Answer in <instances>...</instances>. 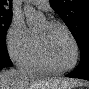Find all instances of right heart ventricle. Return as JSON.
<instances>
[{"label":"right heart ventricle","instance_id":"right-heart-ventricle-1","mask_svg":"<svg viewBox=\"0 0 89 89\" xmlns=\"http://www.w3.org/2000/svg\"><path fill=\"white\" fill-rule=\"evenodd\" d=\"M22 68L30 74H51L41 61L36 46L33 51L22 62Z\"/></svg>","mask_w":89,"mask_h":89}]
</instances>
